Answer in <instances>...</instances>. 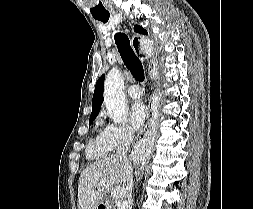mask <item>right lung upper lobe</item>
Here are the masks:
<instances>
[{"label":"right lung upper lobe","instance_id":"1","mask_svg":"<svg viewBox=\"0 0 253 209\" xmlns=\"http://www.w3.org/2000/svg\"><path fill=\"white\" fill-rule=\"evenodd\" d=\"M134 30L135 32H138L140 34L147 35V31L141 26L135 25ZM104 79H105V75L103 74L96 83L93 100H92V112L90 115V119L96 118L99 112V108L101 107L103 103Z\"/></svg>","mask_w":253,"mask_h":209}]
</instances>
